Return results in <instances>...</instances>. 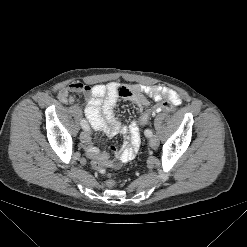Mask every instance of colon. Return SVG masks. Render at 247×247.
Wrapping results in <instances>:
<instances>
[{
  "instance_id": "colon-1",
  "label": "colon",
  "mask_w": 247,
  "mask_h": 247,
  "mask_svg": "<svg viewBox=\"0 0 247 247\" xmlns=\"http://www.w3.org/2000/svg\"><path fill=\"white\" fill-rule=\"evenodd\" d=\"M119 92L121 95H126L128 94V90L126 87L121 86L119 89ZM174 106L169 103V102H163L161 104L156 105L154 108L146 110L140 117L141 123H146L153 115L160 113V112H167V113H172L174 112ZM94 168L101 174L105 175L106 170L105 167L101 163H96L94 165ZM106 185L108 187H113L115 185V181L113 179H108L106 181Z\"/></svg>"
}]
</instances>
